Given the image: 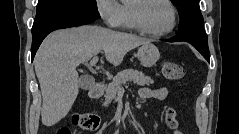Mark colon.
I'll use <instances>...</instances> for the list:
<instances>
[{
  "instance_id": "5ec220e1",
  "label": "colon",
  "mask_w": 239,
  "mask_h": 134,
  "mask_svg": "<svg viewBox=\"0 0 239 134\" xmlns=\"http://www.w3.org/2000/svg\"><path fill=\"white\" fill-rule=\"evenodd\" d=\"M162 75L165 79L170 81H177L184 77L185 70L183 66L174 61H166L161 67ZM176 111L170 108L166 112V122L170 128H176L178 126L176 119ZM100 120L95 115L90 114H80L76 115L74 118V125L85 130H96L99 126ZM57 134H70L68 128H61Z\"/></svg>"
}]
</instances>
